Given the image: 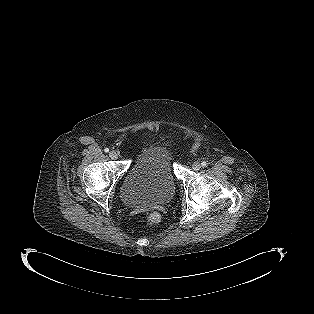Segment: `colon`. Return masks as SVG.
<instances>
[{
  "instance_id": "colon-1",
  "label": "colon",
  "mask_w": 314,
  "mask_h": 314,
  "mask_svg": "<svg viewBox=\"0 0 314 314\" xmlns=\"http://www.w3.org/2000/svg\"><path fill=\"white\" fill-rule=\"evenodd\" d=\"M147 221L150 225H156L160 222V215L156 212L150 213L147 217Z\"/></svg>"
}]
</instances>
